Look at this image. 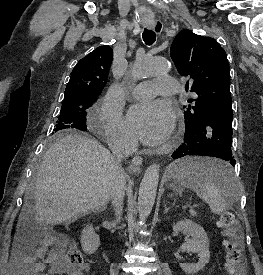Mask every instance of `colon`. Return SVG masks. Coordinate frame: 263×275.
I'll return each instance as SVG.
<instances>
[{"mask_svg":"<svg viewBox=\"0 0 263 275\" xmlns=\"http://www.w3.org/2000/svg\"><path fill=\"white\" fill-rule=\"evenodd\" d=\"M226 237L224 241L225 271L228 275H245L243 240L240 226L232 212H225L219 220ZM70 270H83L86 265L82 253L75 245H70L66 253Z\"/></svg>","mask_w":263,"mask_h":275,"instance_id":"colon-1","label":"colon"}]
</instances>
